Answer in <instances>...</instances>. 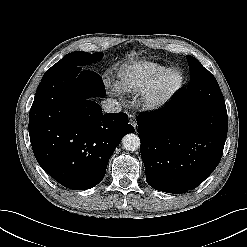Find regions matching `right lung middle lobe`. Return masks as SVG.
<instances>
[{
  "mask_svg": "<svg viewBox=\"0 0 247 247\" xmlns=\"http://www.w3.org/2000/svg\"><path fill=\"white\" fill-rule=\"evenodd\" d=\"M102 56L103 53L101 52H96L94 54L80 51L72 52L65 55L60 61L54 64L50 69L46 71L44 75L52 74L60 70L74 67H82L85 69L87 65L100 60Z\"/></svg>",
  "mask_w": 247,
  "mask_h": 247,
  "instance_id": "right-lung-middle-lobe-1",
  "label": "right lung middle lobe"
}]
</instances>
